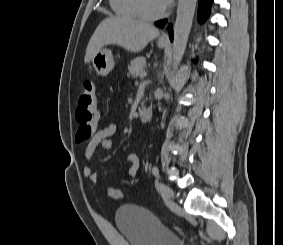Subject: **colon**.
Listing matches in <instances>:
<instances>
[{"mask_svg":"<svg viewBox=\"0 0 283 245\" xmlns=\"http://www.w3.org/2000/svg\"><path fill=\"white\" fill-rule=\"evenodd\" d=\"M75 117L79 124L76 141L85 142L92 137L96 123V85L93 80H86L81 85ZM107 193L112 199H123V194L115 187H109Z\"/></svg>","mask_w":283,"mask_h":245,"instance_id":"obj_1","label":"colon"}]
</instances>
